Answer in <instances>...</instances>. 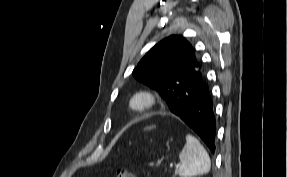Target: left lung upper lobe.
Listing matches in <instances>:
<instances>
[{
    "mask_svg": "<svg viewBox=\"0 0 287 177\" xmlns=\"http://www.w3.org/2000/svg\"><path fill=\"white\" fill-rule=\"evenodd\" d=\"M200 69L201 64L190 43L182 36L172 35L147 52L133 70V75L158 90L170 107L177 102L183 88L200 82Z\"/></svg>",
    "mask_w": 287,
    "mask_h": 177,
    "instance_id": "left-lung-upper-lobe-1",
    "label": "left lung upper lobe"
}]
</instances>
